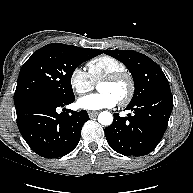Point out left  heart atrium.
Wrapping results in <instances>:
<instances>
[{
	"mask_svg": "<svg viewBox=\"0 0 193 193\" xmlns=\"http://www.w3.org/2000/svg\"><path fill=\"white\" fill-rule=\"evenodd\" d=\"M118 103L117 99L110 93L100 92L88 94L77 100V106L80 109L88 111H97L103 108H113Z\"/></svg>",
	"mask_w": 193,
	"mask_h": 193,
	"instance_id": "obj_1",
	"label": "left heart atrium"
}]
</instances>
